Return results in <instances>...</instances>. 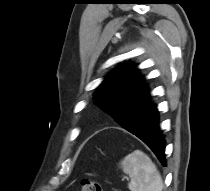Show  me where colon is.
<instances>
[{"mask_svg":"<svg viewBox=\"0 0 210 191\" xmlns=\"http://www.w3.org/2000/svg\"><path fill=\"white\" fill-rule=\"evenodd\" d=\"M81 191H103V189L98 181L86 178L81 182Z\"/></svg>","mask_w":210,"mask_h":191,"instance_id":"5ec220e1","label":"colon"}]
</instances>
